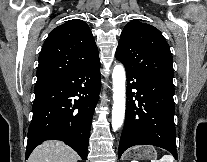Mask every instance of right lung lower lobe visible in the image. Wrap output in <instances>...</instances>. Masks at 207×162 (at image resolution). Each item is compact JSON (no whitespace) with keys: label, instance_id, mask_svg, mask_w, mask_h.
Returning <instances> with one entry per match:
<instances>
[{"label":"right lung lower lobe","instance_id":"obj_1","mask_svg":"<svg viewBox=\"0 0 207 162\" xmlns=\"http://www.w3.org/2000/svg\"><path fill=\"white\" fill-rule=\"evenodd\" d=\"M101 88L100 62L35 84L26 159L45 140H61L87 160L94 108ZM79 97V99H72Z\"/></svg>","mask_w":207,"mask_h":162}]
</instances>
